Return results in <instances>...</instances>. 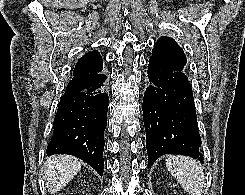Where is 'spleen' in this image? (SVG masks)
<instances>
[{
  "label": "spleen",
  "instance_id": "3e777b00",
  "mask_svg": "<svg viewBox=\"0 0 245 195\" xmlns=\"http://www.w3.org/2000/svg\"><path fill=\"white\" fill-rule=\"evenodd\" d=\"M166 167L186 192L202 194L205 176L199 162L187 156H168Z\"/></svg>",
  "mask_w": 245,
  "mask_h": 195
}]
</instances>
